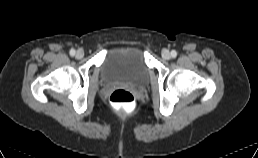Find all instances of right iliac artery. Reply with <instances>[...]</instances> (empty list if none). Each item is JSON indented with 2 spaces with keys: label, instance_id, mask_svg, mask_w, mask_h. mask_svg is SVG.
<instances>
[{
  "label": "right iliac artery",
  "instance_id": "82829eb1",
  "mask_svg": "<svg viewBox=\"0 0 258 158\" xmlns=\"http://www.w3.org/2000/svg\"><path fill=\"white\" fill-rule=\"evenodd\" d=\"M69 53H70L71 56H74L75 55V50L71 49Z\"/></svg>",
  "mask_w": 258,
  "mask_h": 158
}]
</instances>
